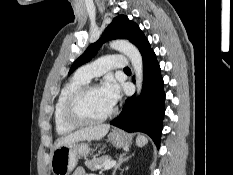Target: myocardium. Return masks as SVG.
Returning a JSON list of instances; mask_svg holds the SVG:
<instances>
[{"instance_id":"myocardium-1","label":"myocardium","mask_w":233,"mask_h":175,"mask_svg":"<svg viewBox=\"0 0 233 175\" xmlns=\"http://www.w3.org/2000/svg\"><path fill=\"white\" fill-rule=\"evenodd\" d=\"M96 88L98 86L95 84H85L70 94L64 105V116L69 123L77 126L93 125L104 122L115 114L116 109L114 107L107 114L97 118L88 117L81 111L83 99L91 90Z\"/></svg>"}]
</instances>
